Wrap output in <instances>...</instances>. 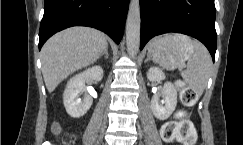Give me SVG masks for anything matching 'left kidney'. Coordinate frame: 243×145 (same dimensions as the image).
Listing matches in <instances>:
<instances>
[{"label": "left kidney", "mask_w": 243, "mask_h": 145, "mask_svg": "<svg viewBox=\"0 0 243 145\" xmlns=\"http://www.w3.org/2000/svg\"><path fill=\"white\" fill-rule=\"evenodd\" d=\"M147 78L151 82H160L165 79L163 71L157 67H151L147 72ZM160 95L164 98L160 104L159 95L156 94L151 99V110L153 115L159 120H166L170 117L177 105V91L171 82H166Z\"/></svg>", "instance_id": "5707ae66"}]
</instances>
